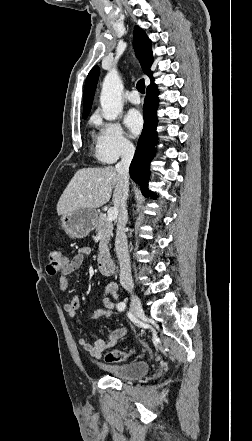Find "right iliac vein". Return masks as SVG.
Here are the masks:
<instances>
[{
  "mask_svg": "<svg viewBox=\"0 0 252 441\" xmlns=\"http://www.w3.org/2000/svg\"><path fill=\"white\" fill-rule=\"evenodd\" d=\"M130 311L134 316L136 322L139 321V319L144 316V311L142 309L141 302L134 293H131Z\"/></svg>",
  "mask_w": 252,
  "mask_h": 441,
  "instance_id": "right-iliac-vein-1",
  "label": "right iliac vein"
}]
</instances>
